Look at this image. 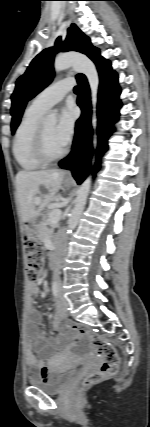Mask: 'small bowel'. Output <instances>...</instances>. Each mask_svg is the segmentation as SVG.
Masks as SVG:
<instances>
[{"mask_svg":"<svg viewBox=\"0 0 150 427\" xmlns=\"http://www.w3.org/2000/svg\"><path fill=\"white\" fill-rule=\"evenodd\" d=\"M38 293V285L33 282L29 283V296L33 297ZM65 317L66 309L59 302H56L55 314L51 324L60 334L57 337H49L41 331L40 324L43 316L30 300L26 316L27 344L25 356L27 365L33 370V376L37 375L42 379H46L66 356V351L71 346L68 331L71 322ZM71 328L75 329L76 325L72 324ZM35 350L42 352L49 359V364H46L42 358L38 357L34 352ZM57 351H62V353L58 355L56 354Z\"/></svg>","mask_w":150,"mask_h":427,"instance_id":"1","label":"small bowel"}]
</instances>
